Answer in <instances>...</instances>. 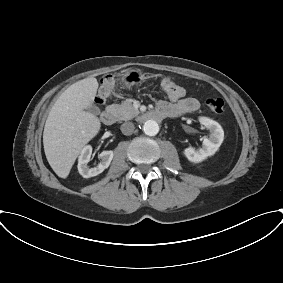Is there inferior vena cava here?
Segmentation results:
<instances>
[{
  "label": "inferior vena cava",
  "mask_w": 283,
  "mask_h": 283,
  "mask_svg": "<svg viewBox=\"0 0 283 283\" xmlns=\"http://www.w3.org/2000/svg\"><path fill=\"white\" fill-rule=\"evenodd\" d=\"M135 129L132 122H125L121 125V131L124 135H131Z\"/></svg>",
  "instance_id": "602c4592"
}]
</instances>
